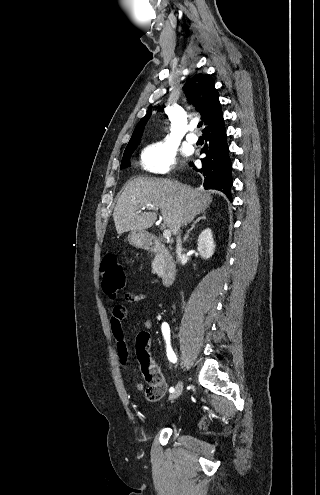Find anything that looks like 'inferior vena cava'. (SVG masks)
<instances>
[{
	"label": "inferior vena cava",
	"mask_w": 320,
	"mask_h": 495,
	"mask_svg": "<svg viewBox=\"0 0 320 495\" xmlns=\"http://www.w3.org/2000/svg\"><path fill=\"white\" fill-rule=\"evenodd\" d=\"M177 246H176V253H177V257L180 258L181 256V252H182V246H181V238H180V235L177 236Z\"/></svg>",
	"instance_id": "602c4592"
}]
</instances>
